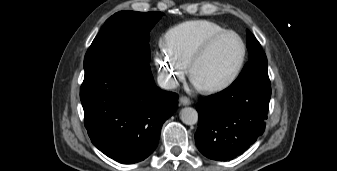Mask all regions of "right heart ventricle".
<instances>
[{"label":"right heart ventricle","instance_id":"right-heart-ventricle-1","mask_svg":"<svg viewBox=\"0 0 337 171\" xmlns=\"http://www.w3.org/2000/svg\"><path fill=\"white\" fill-rule=\"evenodd\" d=\"M225 30L210 20H190L169 29L165 35V45L175 58L187 66L203 42Z\"/></svg>","mask_w":337,"mask_h":171}]
</instances>
